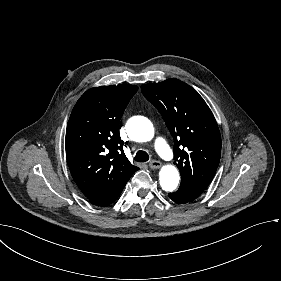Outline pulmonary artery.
I'll use <instances>...</instances> for the list:
<instances>
[{"label":"pulmonary artery","mask_w":281,"mask_h":281,"mask_svg":"<svg viewBox=\"0 0 281 281\" xmlns=\"http://www.w3.org/2000/svg\"><path fill=\"white\" fill-rule=\"evenodd\" d=\"M153 146L167 162H174L177 159V152L163 136H156L153 139Z\"/></svg>","instance_id":"pulmonary-artery-1"}]
</instances>
